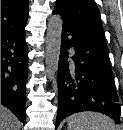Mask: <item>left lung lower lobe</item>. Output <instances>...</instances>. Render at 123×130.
Listing matches in <instances>:
<instances>
[{
  "instance_id": "1",
  "label": "left lung lower lobe",
  "mask_w": 123,
  "mask_h": 130,
  "mask_svg": "<svg viewBox=\"0 0 123 130\" xmlns=\"http://www.w3.org/2000/svg\"><path fill=\"white\" fill-rule=\"evenodd\" d=\"M70 48L75 51L73 61L68 60ZM82 111L101 112L120 123L121 107L107 46L78 35L63 23L56 128L65 117Z\"/></svg>"
}]
</instances>
